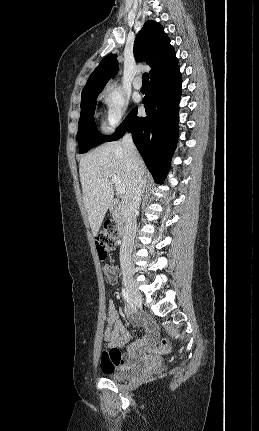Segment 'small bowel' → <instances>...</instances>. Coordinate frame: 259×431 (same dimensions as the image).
Listing matches in <instances>:
<instances>
[{
	"mask_svg": "<svg viewBox=\"0 0 259 431\" xmlns=\"http://www.w3.org/2000/svg\"><path fill=\"white\" fill-rule=\"evenodd\" d=\"M127 315L131 314L129 307H126ZM146 330L147 335L138 342L127 345L125 353L120 348L124 347L130 339V333L122 321L119 320L118 311L114 301L108 302L107 326L104 332V339L107 349L101 355V369L104 373L112 371L118 367H125L139 356V349L144 344L151 342L155 338V328L149 322L141 324Z\"/></svg>",
	"mask_w": 259,
	"mask_h": 431,
	"instance_id": "small-bowel-1",
	"label": "small bowel"
}]
</instances>
